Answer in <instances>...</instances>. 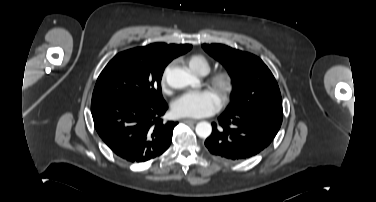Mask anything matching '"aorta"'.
Masks as SVG:
<instances>
[{"label":"aorta","instance_id":"obj_1","mask_svg":"<svg viewBox=\"0 0 376 202\" xmlns=\"http://www.w3.org/2000/svg\"><path fill=\"white\" fill-rule=\"evenodd\" d=\"M167 83L175 89H182L187 86H194L198 83V79L193 74L181 69L174 68L167 74ZM212 132V126L206 121L199 122L196 125V134L200 138H207Z\"/></svg>","mask_w":376,"mask_h":202}]
</instances>
